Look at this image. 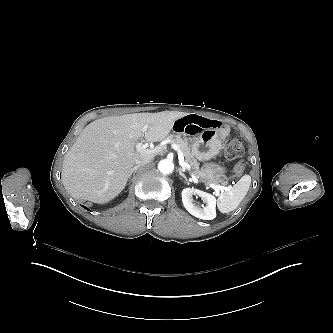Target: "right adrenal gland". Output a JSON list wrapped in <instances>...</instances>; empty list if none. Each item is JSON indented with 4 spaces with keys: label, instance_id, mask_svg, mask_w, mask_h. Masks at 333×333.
Returning a JSON list of instances; mask_svg holds the SVG:
<instances>
[{
    "label": "right adrenal gland",
    "instance_id": "obj_1",
    "mask_svg": "<svg viewBox=\"0 0 333 333\" xmlns=\"http://www.w3.org/2000/svg\"><path fill=\"white\" fill-rule=\"evenodd\" d=\"M138 168H140V166H136V167H134V168L132 169V171H131V176H134V175H135L136 170H137Z\"/></svg>",
    "mask_w": 333,
    "mask_h": 333
}]
</instances>
